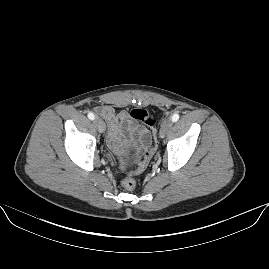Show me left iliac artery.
Listing matches in <instances>:
<instances>
[{
	"mask_svg": "<svg viewBox=\"0 0 269 269\" xmlns=\"http://www.w3.org/2000/svg\"><path fill=\"white\" fill-rule=\"evenodd\" d=\"M179 119V115L177 113H175L173 116H172V122H177Z\"/></svg>",
	"mask_w": 269,
	"mask_h": 269,
	"instance_id": "44dca946",
	"label": "left iliac artery"
}]
</instances>
